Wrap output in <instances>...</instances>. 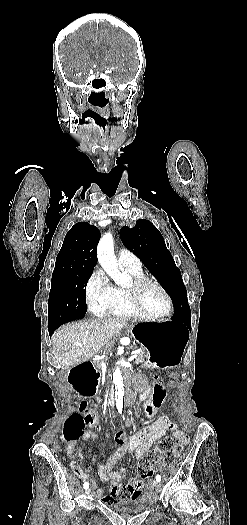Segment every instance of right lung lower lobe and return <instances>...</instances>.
<instances>
[{"mask_svg": "<svg viewBox=\"0 0 247 525\" xmlns=\"http://www.w3.org/2000/svg\"><path fill=\"white\" fill-rule=\"evenodd\" d=\"M58 327H59V326H58ZM58 327H48V330H49L50 336L52 335V333L54 332V330L57 329Z\"/></svg>", "mask_w": 247, "mask_h": 525, "instance_id": "98d812e1", "label": "right lung lower lobe"}]
</instances>
